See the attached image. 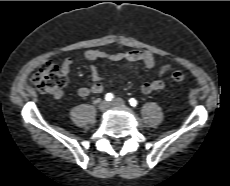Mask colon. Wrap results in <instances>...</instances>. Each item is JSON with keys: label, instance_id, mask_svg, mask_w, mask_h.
Returning <instances> with one entry per match:
<instances>
[{"label": "colon", "instance_id": "colon-1", "mask_svg": "<svg viewBox=\"0 0 230 186\" xmlns=\"http://www.w3.org/2000/svg\"><path fill=\"white\" fill-rule=\"evenodd\" d=\"M170 77L175 82H183L186 79V74L177 70L171 72ZM32 82L39 91L54 95L60 94L66 85L64 75L58 66L51 61H46L39 66L32 77Z\"/></svg>", "mask_w": 230, "mask_h": 186}]
</instances>
